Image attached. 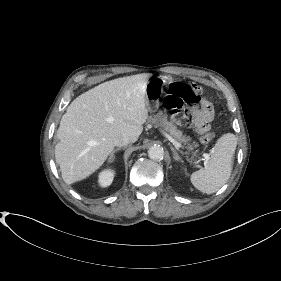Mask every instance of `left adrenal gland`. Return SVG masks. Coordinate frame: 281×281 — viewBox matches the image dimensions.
<instances>
[{
  "label": "left adrenal gland",
  "mask_w": 281,
  "mask_h": 281,
  "mask_svg": "<svg viewBox=\"0 0 281 281\" xmlns=\"http://www.w3.org/2000/svg\"><path fill=\"white\" fill-rule=\"evenodd\" d=\"M171 150L173 152V159L176 161L183 162L182 159L180 158V156L178 155L177 151L173 147H171Z\"/></svg>",
  "instance_id": "left-adrenal-gland-1"
}]
</instances>
